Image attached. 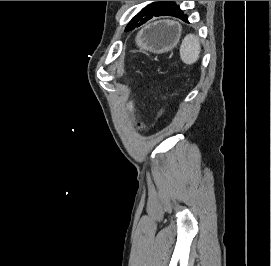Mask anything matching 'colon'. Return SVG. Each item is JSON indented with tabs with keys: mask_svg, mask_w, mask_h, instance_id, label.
Masks as SVG:
<instances>
[{
	"mask_svg": "<svg viewBox=\"0 0 271 266\" xmlns=\"http://www.w3.org/2000/svg\"><path fill=\"white\" fill-rule=\"evenodd\" d=\"M138 126H139V128H143V124L142 123H139Z\"/></svg>",
	"mask_w": 271,
	"mask_h": 266,
	"instance_id": "5ec220e1",
	"label": "colon"
}]
</instances>
